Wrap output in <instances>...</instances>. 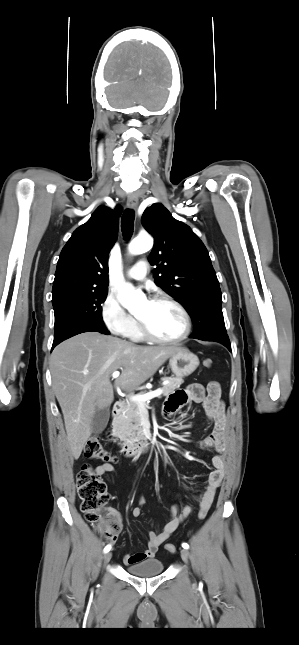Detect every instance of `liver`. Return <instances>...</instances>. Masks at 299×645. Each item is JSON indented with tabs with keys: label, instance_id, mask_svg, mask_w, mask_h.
I'll use <instances>...</instances> for the list:
<instances>
[{
	"label": "liver",
	"instance_id": "liver-1",
	"mask_svg": "<svg viewBox=\"0 0 299 645\" xmlns=\"http://www.w3.org/2000/svg\"><path fill=\"white\" fill-rule=\"evenodd\" d=\"M180 350L177 346H138L97 332L79 334L54 349L50 358L52 386L75 459L91 436L96 410L114 400L112 373L121 370L115 388L135 389Z\"/></svg>",
	"mask_w": 299,
	"mask_h": 645
}]
</instances>
